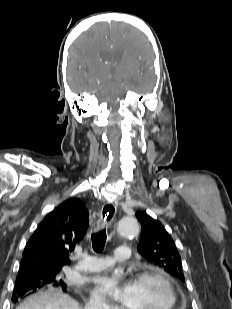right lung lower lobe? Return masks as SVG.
Instances as JSON below:
<instances>
[{"label":"right lung lower lobe","instance_id":"obj_1","mask_svg":"<svg viewBox=\"0 0 232 309\" xmlns=\"http://www.w3.org/2000/svg\"><path fill=\"white\" fill-rule=\"evenodd\" d=\"M41 288H42V286L37 281L32 282V283H27V284L15 285L14 290H13L12 300L14 302H16L19 297H23L27 294H30L32 292L37 291L38 289H41ZM64 291H65V289H64Z\"/></svg>","mask_w":232,"mask_h":309}]
</instances>
